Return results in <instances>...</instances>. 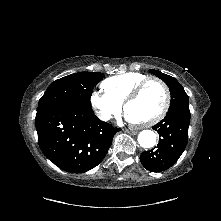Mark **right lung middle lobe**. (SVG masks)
<instances>
[{
  "mask_svg": "<svg viewBox=\"0 0 221 221\" xmlns=\"http://www.w3.org/2000/svg\"><path fill=\"white\" fill-rule=\"evenodd\" d=\"M103 77L99 72H79L54 81L39 100L36 115L63 104L91 108L92 91Z\"/></svg>",
  "mask_w": 221,
  "mask_h": 221,
  "instance_id": "right-lung-middle-lobe-1",
  "label": "right lung middle lobe"
}]
</instances>
